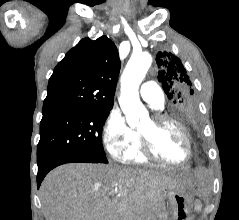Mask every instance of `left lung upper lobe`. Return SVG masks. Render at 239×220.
Listing matches in <instances>:
<instances>
[{
  "label": "left lung upper lobe",
  "instance_id": "5c2ea615",
  "mask_svg": "<svg viewBox=\"0 0 239 220\" xmlns=\"http://www.w3.org/2000/svg\"><path fill=\"white\" fill-rule=\"evenodd\" d=\"M158 80L170 100L172 114L180 120L198 119V104L192 83L181 60L171 52H158L156 56Z\"/></svg>",
  "mask_w": 239,
  "mask_h": 220
}]
</instances>
